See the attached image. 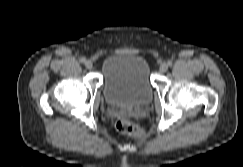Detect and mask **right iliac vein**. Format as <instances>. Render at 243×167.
Segmentation results:
<instances>
[{"instance_id": "63e3f726", "label": "right iliac vein", "mask_w": 243, "mask_h": 167, "mask_svg": "<svg viewBox=\"0 0 243 167\" xmlns=\"http://www.w3.org/2000/svg\"><path fill=\"white\" fill-rule=\"evenodd\" d=\"M85 67H86L87 69H92V68H93V63H92V61L87 60V61L85 62Z\"/></svg>"}]
</instances>
